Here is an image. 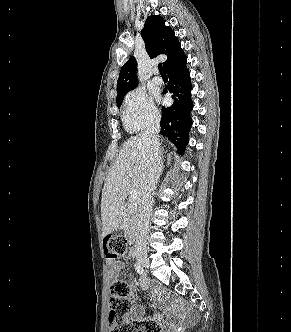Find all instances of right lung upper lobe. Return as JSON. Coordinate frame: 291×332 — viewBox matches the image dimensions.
I'll return each instance as SVG.
<instances>
[{"mask_svg":"<svg viewBox=\"0 0 291 332\" xmlns=\"http://www.w3.org/2000/svg\"><path fill=\"white\" fill-rule=\"evenodd\" d=\"M141 36L150 58L161 54L167 55V60L163 63L165 70L185 56L174 32L165 26V21L160 16L147 17ZM137 85L136 60L131 57L120 70L117 81V102L123 100L125 94Z\"/></svg>","mask_w":291,"mask_h":332,"instance_id":"obj_1","label":"right lung upper lobe"}]
</instances>
